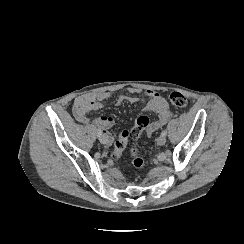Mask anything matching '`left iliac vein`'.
Returning <instances> with one entry per match:
<instances>
[{"mask_svg": "<svg viewBox=\"0 0 244 244\" xmlns=\"http://www.w3.org/2000/svg\"><path fill=\"white\" fill-rule=\"evenodd\" d=\"M157 144L158 145H164L165 144V142H166V137L165 136H159L158 138H157Z\"/></svg>", "mask_w": 244, "mask_h": 244, "instance_id": "4c4485c4", "label": "left iliac vein"}]
</instances>
